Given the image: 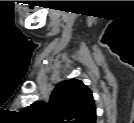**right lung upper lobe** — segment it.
Listing matches in <instances>:
<instances>
[{
  "label": "right lung upper lobe",
  "instance_id": "1",
  "mask_svg": "<svg viewBox=\"0 0 134 123\" xmlns=\"http://www.w3.org/2000/svg\"><path fill=\"white\" fill-rule=\"evenodd\" d=\"M23 112L28 118L44 123H95L96 120L92 92L78 79L60 82L47 105L35 102Z\"/></svg>",
  "mask_w": 134,
  "mask_h": 123
}]
</instances>
